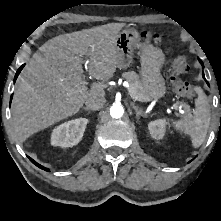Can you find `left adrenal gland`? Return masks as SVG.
Segmentation results:
<instances>
[{
    "label": "left adrenal gland",
    "mask_w": 221,
    "mask_h": 221,
    "mask_svg": "<svg viewBox=\"0 0 221 221\" xmlns=\"http://www.w3.org/2000/svg\"><path fill=\"white\" fill-rule=\"evenodd\" d=\"M131 106L136 112V118L138 121H139L140 116L146 117V115L143 113V110L141 108L136 106L134 103H132Z\"/></svg>",
    "instance_id": "left-adrenal-gland-1"
}]
</instances>
